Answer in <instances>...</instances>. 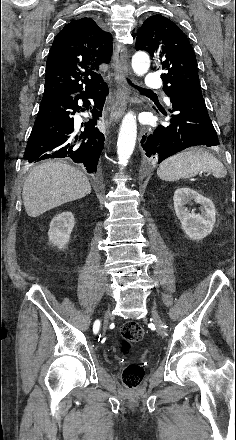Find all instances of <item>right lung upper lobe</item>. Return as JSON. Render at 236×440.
I'll use <instances>...</instances> for the list:
<instances>
[{
	"label": "right lung upper lobe",
	"mask_w": 236,
	"mask_h": 440,
	"mask_svg": "<svg viewBox=\"0 0 236 440\" xmlns=\"http://www.w3.org/2000/svg\"><path fill=\"white\" fill-rule=\"evenodd\" d=\"M111 48V35L94 20L81 18L68 23L49 51L42 99L73 96L101 87L99 66L110 62Z\"/></svg>",
	"instance_id": "right-lung-upper-lobe-1"
}]
</instances>
